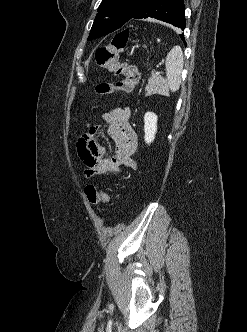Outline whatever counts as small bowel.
Instances as JSON below:
<instances>
[{"mask_svg": "<svg viewBox=\"0 0 247 332\" xmlns=\"http://www.w3.org/2000/svg\"><path fill=\"white\" fill-rule=\"evenodd\" d=\"M130 115V109L127 107L115 108L101 115L103 127L114 143V152L111 155L96 141L100 126H87L86 133L77 143L78 156L86 167L87 177L110 176L123 166L135 169L136 164L132 156L137 150L138 139L129 123Z\"/></svg>", "mask_w": 247, "mask_h": 332, "instance_id": "c3829d8e", "label": "small bowel"}]
</instances>
